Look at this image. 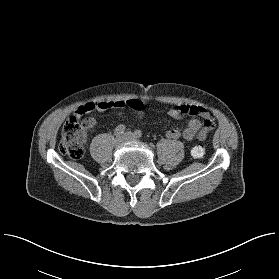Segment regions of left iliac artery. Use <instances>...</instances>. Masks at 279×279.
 I'll return each instance as SVG.
<instances>
[{
  "mask_svg": "<svg viewBox=\"0 0 279 279\" xmlns=\"http://www.w3.org/2000/svg\"><path fill=\"white\" fill-rule=\"evenodd\" d=\"M135 136H136L137 138H141V137H142V132H141L140 130H136V131H135Z\"/></svg>",
  "mask_w": 279,
  "mask_h": 279,
  "instance_id": "obj_1",
  "label": "left iliac artery"
}]
</instances>
